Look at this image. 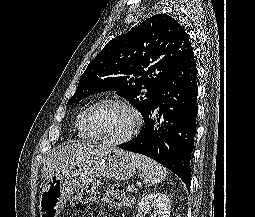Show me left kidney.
Returning <instances> with one entry per match:
<instances>
[{
    "instance_id": "1",
    "label": "left kidney",
    "mask_w": 255,
    "mask_h": 217,
    "mask_svg": "<svg viewBox=\"0 0 255 217\" xmlns=\"http://www.w3.org/2000/svg\"><path fill=\"white\" fill-rule=\"evenodd\" d=\"M170 207L171 203L167 194H147L138 203V214L135 217H145L151 209L155 210L157 217H170Z\"/></svg>"
}]
</instances>
